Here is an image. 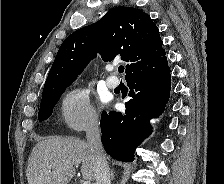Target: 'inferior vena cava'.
Returning a JSON list of instances; mask_svg holds the SVG:
<instances>
[{
  "instance_id": "602c4592",
  "label": "inferior vena cava",
  "mask_w": 224,
  "mask_h": 184,
  "mask_svg": "<svg viewBox=\"0 0 224 184\" xmlns=\"http://www.w3.org/2000/svg\"><path fill=\"white\" fill-rule=\"evenodd\" d=\"M86 139L88 146L95 158V184H111L109 166L101 143V132L97 119H93L89 122L86 129Z\"/></svg>"
}]
</instances>
